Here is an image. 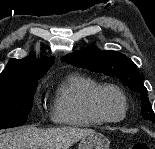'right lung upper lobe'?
<instances>
[{
  "label": "right lung upper lobe",
  "mask_w": 155,
  "mask_h": 149,
  "mask_svg": "<svg viewBox=\"0 0 155 149\" xmlns=\"http://www.w3.org/2000/svg\"><path fill=\"white\" fill-rule=\"evenodd\" d=\"M53 62L54 60L52 58H39L38 60L33 57H26L21 60L11 59L0 74V80L43 77Z\"/></svg>",
  "instance_id": "1"
}]
</instances>
